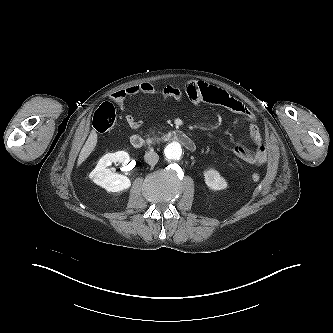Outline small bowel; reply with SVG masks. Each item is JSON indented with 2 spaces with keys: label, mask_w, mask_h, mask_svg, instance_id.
Instances as JSON below:
<instances>
[{
  "label": "small bowel",
  "mask_w": 333,
  "mask_h": 333,
  "mask_svg": "<svg viewBox=\"0 0 333 333\" xmlns=\"http://www.w3.org/2000/svg\"><path fill=\"white\" fill-rule=\"evenodd\" d=\"M138 94L157 96L164 101L169 99L180 101L186 97L193 103H211L230 110L248 121L249 135L256 145L255 150L237 146L233 150L234 154L246 163L255 166L262 165L267 161L268 150L263 143L255 114L241 101L230 96L222 89L198 81L188 82L184 90L175 86L158 87L151 83H140L113 93L111 99L122 110H125L126 101ZM125 122L131 129L136 130L142 125L143 119L126 114Z\"/></svg>",
  "instance_id": "small-bowel-1"
}]
</instances>
